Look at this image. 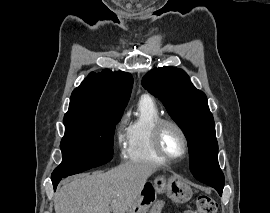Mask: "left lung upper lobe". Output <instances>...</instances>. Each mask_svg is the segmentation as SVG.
I'll return each mask as SVG.
<instances>
[{
    "mask_svg": "<svg viewBox=\"0 0 270 213\" xmlns=\"http://www.w3.org/2000/svg\"><path fill=\"white\" fill-rule=\"evenodd\" d=\"M142 85L162 101L172 119L187 134L193 176L222 192L224 175L217 160L214 119L204 92L194 87L183 70L174 67L151 70L143 77Z\"/></svg>",
    "mask_w": 270,
    "mask_h": 213,
    "instance_id": "obj_1",
    "label": "left lung upper lobe"
}]
</instances>
